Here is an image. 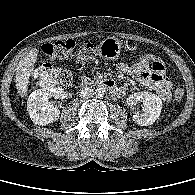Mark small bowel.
<instances>
[{"label": "small bowel", "instance_id": "obj_1", "mask_svg": "<svg viewBox=\"0 0 195 195\" xmlns=\"http://www.w3.org/2000/svg\"><path fill=\"white\" fill-rule=\"evenodd\" d=\"M116 70L124 75H132L136 77V80L146 87L154 90L163 101H170L171 94V82L166 75H156L149 73L141 62L134 65H128L126 63H118ZM125 93V88L119 86L116 91L112 93L114 97H121Z\"/></svg>", "mask_w": 195, "mask_h": 195}]
</instances>
